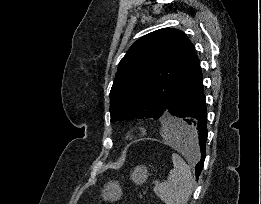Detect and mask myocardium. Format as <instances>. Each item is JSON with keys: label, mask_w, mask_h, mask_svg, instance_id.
Instances as JSON below:
<instances>
[{"label": "myocardium", "mask_w": 261, "mask_h": 204, "mask_svg": "<svg viewBox=\"0 0 261 204\" xmlns=\"http://www.w3.org/2000/svg\"><path fill=\"white\" fill-rule=\"evenodd\" d=\"M134 136V133L133 132H130L129 134H128V137L129 138H131V137H133Z\"/></svg>", "instance_id": "myocardium-1"}]
</instances>
